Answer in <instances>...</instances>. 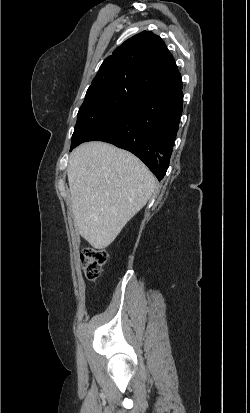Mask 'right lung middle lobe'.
Wrapping results in <instances>:
<instances>
[{
	"mask_svg": "<svg viewBox=\"0 0 250 413\" xmlns=\"http://www.w3.org/2000/svg\"><path fill=\"white\" fill-rule=\"evenodd\" d=\"M140 95L137 90L121 86L89 88L77 115L70 151L106 126L129 101Z\"/></svg>",
	"mask_w": 250,
	"mask_h": 413,
	"instance_id": "dd1d6c3e",
	"label": "right lung middle lobe"
}]
</instances>
